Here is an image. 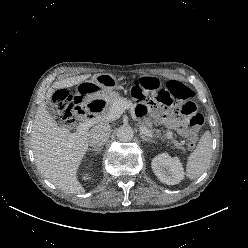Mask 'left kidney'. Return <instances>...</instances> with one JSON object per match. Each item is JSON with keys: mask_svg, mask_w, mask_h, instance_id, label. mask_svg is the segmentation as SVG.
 Wrapping results in <instances>:
<instances>
[{"mask_svg": "<svg viewBox=\"0 0 248 248\" xmlns=\"http://www.w3.org/2000/svg\"><path fill=\"white\" fill-rule=\"evenodd\" d=\"M151 166L158 179L167 185H175L184 178L182 163L178 157L162 153L153 158Z\"/></svg>", "mask_w": 248, "mask_h": 248, "instance_id": "5707ae66", "label": "left kidney"}]
</instances>
